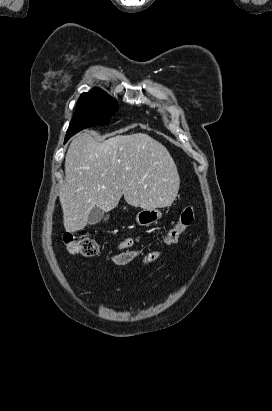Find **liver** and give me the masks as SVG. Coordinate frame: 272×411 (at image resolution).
<instances>
[{"label":"liver","mask_w":272,"mask_h":411,"mask_svg":"<svg viewBox=\"0 0 272 411\" xmlns=\"http://www.w3.org/2000/svg\"><path fill=\"white\" fill-rule=\"evenodd\" d=\"M179 185L173 158L149 135H117L97 142L90 133H81L68 148L59 192L65 230H82L94 207L109 212L122 195L133 207L170 206Z\"/></svg>","instance_id":"1"}]
</instances>
